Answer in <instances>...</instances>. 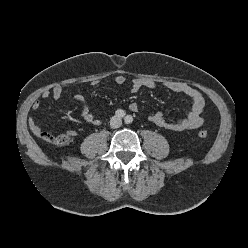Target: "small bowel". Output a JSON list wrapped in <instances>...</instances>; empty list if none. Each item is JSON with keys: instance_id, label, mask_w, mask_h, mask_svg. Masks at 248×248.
Segmentation results:
<instances>
[{"instance_id": "obj_1", "label": "small bowel", "mask_w": 248, "mask_h": 248, "mask_svg": "<svg viewBox=\"0 0 248 248\" xmlns=\"http://www.w3.org/2000/svg\"><path fill=\"white\" fill-rule=\"evenodd\" d=\"M127 82V78L124 75H118L115 78V83L118 85L125 84ZM93 85H97L98 82H92ZM158 85L163 86L164 88L176 92L181 93L188 96L192 101V107L188 115L180 120L172 121L167 119L163 113L156 112L149 116V121L154 125L173 132H181L186 130H193L199 128L204 123L203 118V110L205 106V99L203 94L196 89L195 87L179 81H162L157 82L153 79L147 78H134L130 81V90L132 93H138L143 88L153 89ZM67 84H58L55 85L51 90L44 91L41 95L43 99H47L52 97L55 100H58L62 94L64 93ZM75 100L80 104V117L83 121L93 124L99 125L101 123V118L93 114L85 103V99L81 95H76ZM40 108V102L38 100L34 101L32 104V109L37 111ZM129 109L133 112H137L139 110V105L137 102H131L129 105ZM28 125L30 130L37 136L42 139H45L47 132L43 131V129L36 123L35 119L30 117L28 120ZM68 137L73 138L77 135V132L73 129L67 132Z\"/></svg>"}]
</instances>
